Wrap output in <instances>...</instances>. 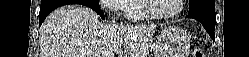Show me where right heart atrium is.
<instances>
[{
    "label": "right heart atrium",
    "instance_id": "d8ad5b80",
    "mask_svg": "<svg viewBox=\"0 0 249 57\" xmlns=\"http://www.w3.org/2000/svg\"><path fill=\"white\" fill-rule=\"evenodd\" d=\"M127 0H104L102 4L115 14H121L125 11V3Z\"/></svg>",
    "mask_w": 249,
    "mask_h": 57
}]
</instances>
